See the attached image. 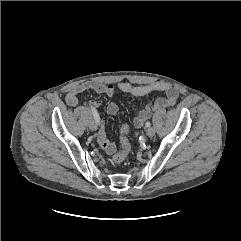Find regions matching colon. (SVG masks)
<instances>
[{
  "label": "colon",
  "mask_w": 241,
  "mask_h": 241,
  "mask_svg": "<svg viewBox=\"0 0 241 241\" xmlns=\"http://www.w3.org/2000/svg\"><path fill=\"white\" fill-rule=\"evenodd\" d=\"M128 133H129V127L128 125L125 124L121 128V136H120L121 150L116 152L112 157V161L115 164L123 163L131 148V143H130Z\"/></svg>",
  "instance_id": "obj_1"
}]
</instances>
